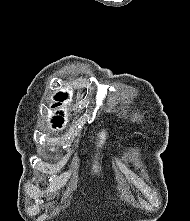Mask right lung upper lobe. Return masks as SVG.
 <instances>
[{"instance_id": "cb5924a9", "label": "right lung upper lobe", "mask_w": 190, "mask_h": 221, "mask_svg": "<svg viewBox=\"0 0 190 221\" xmlns=\"http://www.w3.org/2000/svg\"><path fill=\"white\" fill-rule=\"evenodd\" d=\"M65 99V95L63 93H59L55 96V100H58V101H63ZM61 103H56L54 104L52 107H56L58 105H60ZM53 122L55 123H63L64 122V119L62 117H58L56 116L53 120Z\"/></svg>"}]
</instances>
